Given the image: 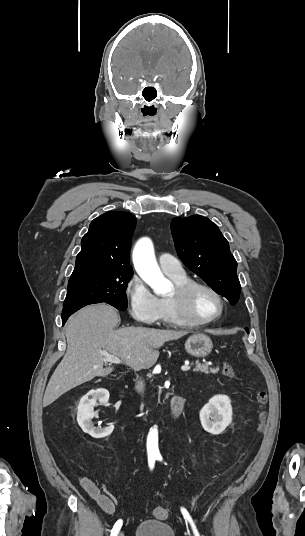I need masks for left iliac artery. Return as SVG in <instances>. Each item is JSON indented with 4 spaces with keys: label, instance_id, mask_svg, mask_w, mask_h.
<instances>
[{
    "label": "left iliac artery",
    "instance_id": "44dca946",
    "mask_svg": "<svg viewBox=\"0 0 305 536\" xmlns=\"http://www.w3.org/2000/svg\"><path fill=\"white\" fill-rule=\"evenodd\" d=\"M157 459L162 460L161 457H158ZM181 511H182V514H183L184 518L187 519L190 522V524L192 526V529H193V532H194V535L195 536H200L199 532L197 531L196 526H195L192 518L190 517L189 513L187 512V510L184 509V508H181Z\"/></svg>",
    "mask_w": 305,
    "mask_h": 536
}]
</instances>
